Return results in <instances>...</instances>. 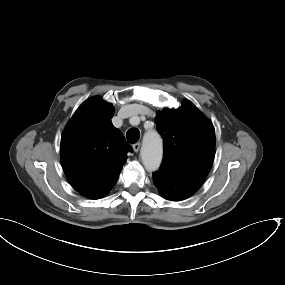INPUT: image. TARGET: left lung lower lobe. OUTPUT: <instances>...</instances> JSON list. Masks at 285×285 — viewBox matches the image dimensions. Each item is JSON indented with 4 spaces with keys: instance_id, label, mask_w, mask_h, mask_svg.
Listing matches in <instances>:
<instances>
[{
    "instance_id": "obj_1",
    "label": "left lung lower lobe",
    "mask_w": 285,
    "mask_h": 285,
    "mask_svg": "<svg viewBox=\"0 0 285 285\" xmlns=\"http://www.w3.org/2000/svg\"><path fill=\"white\" fill-rule=\"evenodd\" d=\"M153 181L163 198L171 201H181L193 195L201 184L180 179L168 173L157 171Z\"/></svg>"
}]
</instances>
